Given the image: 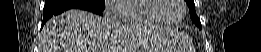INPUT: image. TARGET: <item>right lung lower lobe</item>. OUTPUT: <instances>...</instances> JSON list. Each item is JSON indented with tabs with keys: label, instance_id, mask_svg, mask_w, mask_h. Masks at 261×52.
I'll return each mask as SVG.
<instances>
[{
	"label": "right lung lower lobe",
	"instance_id": "right-lung-lower-lobe-1",
	"mask_svg": "<svg viewBox=\"0 0 261 52\" xmlns=\"http://www.w3.org/2000/svg\"><path fill=\"white\" fill-rule=\"evenodd\" d=\"M71 8H79L82 10H88L95 14L102 15V11H100V10L92 9V8L85 7V6H82L79 4H71V3L66 2V0H48L45 2V6L43 9L42 27L45 24V22L53 15L60 14L63 11L71 9Z\"/></svg>",
	"mask_w": 261,
	"mask_h": 52
}]
</instances>
